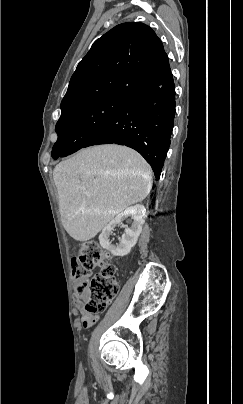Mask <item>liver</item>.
Wrapping results in <instances>:
<instances>
[{
	"label": "liver",
	"instance_id": "liver-1",
	"mask_svg": "<svg viewBox=\"0 0 243 404\" xmlns=\"http://www.w3.org/2000/svg\"><path fill=\"white\" fill-rule=\"evenodd\" d=\"M53 180L66 232L77 242H88L116 214L145 200L152 170L135 150L106 144L80 150L57 164Z\"/></svg>",
	"mask_w": 243,
	"mask_h": 404
}]
</instances>
